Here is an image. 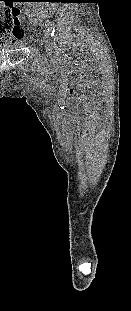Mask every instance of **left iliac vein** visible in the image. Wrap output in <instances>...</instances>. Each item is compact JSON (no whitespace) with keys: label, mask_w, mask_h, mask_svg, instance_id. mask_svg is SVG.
<instances>
[{"label":"left iliac vein","mask_w":131,"mask_h":311,"mask_svg":"<svg viewBox=\"0 0 131 311\" xmlns=\"http://www.w3.org/2000/svg\"><path fill=\"white\" fill-rule=\"evenodd\" d=\"M43 41L45 45V49L48 54H51L53 52V45L50 41L49 33L47 30L43 31Z\"/></svg>","instance_id":"1"}]
</instances>
